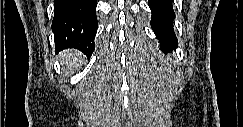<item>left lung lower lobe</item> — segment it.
I'll return each mask as SVG.
<instances>
[{"label": "left lung lower lobe", "mask_w": 243, "mask_h": 127, "mask_svg": "<svg viewBox=\"0 0 243 127\" xmlns=\"http://www.w3.org/2000/svg\"><path fill=\"white\" fill-rule=\"evenodd\" d=\"M148 4L152 12L151 27L160 41V49L163 52L175 50L178 40L173 29L172 0H149Z\"/></svg>", "instance_id": "1"}]
</instances>
